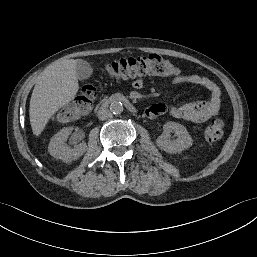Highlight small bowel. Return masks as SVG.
<instances>
[{
    "instance_id": "small-bowel-1",
    "label": "small bowel",
    "mask_w": 257,
    "mask_h": 257,
    "mask_svg": "<svg viewBox=\"0 0 257 257\" xmlns=\"http://www.w3.org/2000/svg\"><path fill=\"white\" fill-rule=\"evenodd\" d=\"M172 83L174 85L200 86L208 92L209 97L207 100L194 101L182 105L154 104L146 110L147 116L155 118L162 115H170L181 120L202 123L218 114L221 103L220 90L212 80L198 74L184 75L176 73L173 76ZM142 85V80L133 82L135 88H141Z\"/></svg>"
}]
</instances>
